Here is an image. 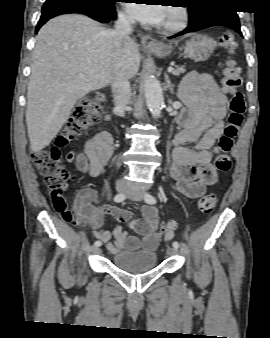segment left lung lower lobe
<instances>
[{
  "label": "left lung lower lobe",
  "mask_w": 270,
  "mask_h": 338,
  "mask_svg": "<svg viewBox=\"0 0 270 338\" xmlns=\"http://www.w3.org/2000/svg\"><path fill=\"white\" fill-rule=\"evenodd\" d=\"M236 12L237 11L231 9H223L216 13L210 14L198 21L197 23L189 25L185 30L174 36H171L170 38L177 37L189 32H196L213 26H227L242 35L240 31L239 18Z\"/></svg>",
  "instance_id": "0a47b994"
}]
</instances>
